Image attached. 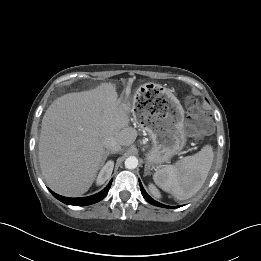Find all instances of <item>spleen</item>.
Instances as JSON below:
<instances>
[{"label": "spleen", "mask_w": 261, "mask_h": 261, "mask_svg": "<svg viewBox=\"0 0 261 261\" xmlns=\"http://www.w3.org/2000/svg\"><path fill=\"white\" fill-rule=\"evenodd\" d=\"M214 153L210 145L192 156H186L174 165L158 169L153 180L158 187L171 193L178 200L194 196L203 186L213 162Z\"/></svg>", "instance_id": "obj_1"}]
</instances>
